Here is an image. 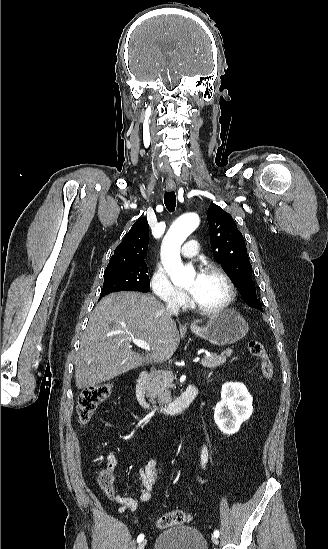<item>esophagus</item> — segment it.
I'll use <instances>...</instances> for the list:
<instances>
[{
	"label": "esophagus",
	"mask_w": 328,
	"mask_h": 549,
	"mask_svg": "<svg viewBox=\"0 0 328 549\" xmlns=\"http://www.w3.org/2000/svg\"><path fill=\"white\" fill-rule=\"evenodd\" d=\"M166 188L169 190H174L176 188V184L173 180H167L166 181Z\"/></svg>",
	"instance_id": "esophagus-1"
}]
</instances>
